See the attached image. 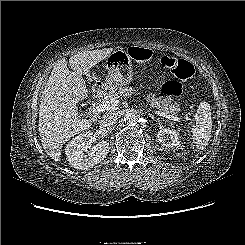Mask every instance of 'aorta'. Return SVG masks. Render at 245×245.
I'll use <instances>...</instances> for the list:
<instances>
[{
  "label": "aorta",
  "mask_w": 245,
  "mask_h": 245,
  "mask_svg": "<svg viewBox=\"0 0 245 245\" xmlns=\"http://www.w3.org/2000/svg\"><path fill=\"white\" fill-rule=\"evenodd\" d=\"M124 121L125 123H127L128 125H135L138 122V115L134 112H128L126 113L125 117H124Z\"/></svg>",
  "instance_id": "762f6f07"
}]
</instances>
